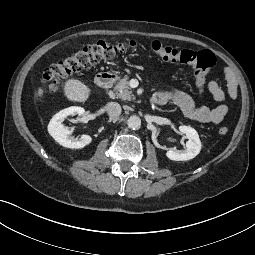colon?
Masks as SVG:
<instances>
[{
	"label": "colon",
	"mask_w": 255,
	"mask_h": 255,
	"mask_svg": "<svg viewBox=\"0 0 255 255\" xmlns=\"http://www.w3.org/2000/svg\"><path fill=\"white\" fill-rule=\"evenodd\" d=\"M137 48L134 41L108 42L98 41L83 46L73 55L64 58L51 65L43 74L42 83L50 90H55L58 84L66 77L89 68L97 62L111 59L116 55L123 54ZM153 53L163 61L178 62L190 65L194 68L195 84L200 91L206 86L209 71L215 64V56L210 51H192L176 49L165 45L160 41L151 43ZM220 135L228 133V128L222 126L218 130Z\"/></svg>",
	"instance_id": "1"
}]
</instances>
